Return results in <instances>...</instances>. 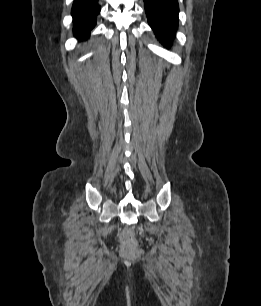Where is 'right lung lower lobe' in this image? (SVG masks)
I'll return each mask as SVG.
<instances>
[{
	"mask_svg": "<svg viewBox=\"0 0 261 306\" xmlns=\"http://www.w3.org/2000/svg\"><path fill=\"white\" fill-rule=\"evenodd\" d=\"M98 0H74L72 15L74 18V35L82 40L89 36L95 26L96 16L100 12Z\"/></svg>",
	"mask_w": 261,
	"mask_h": 306,
	"instance_id": "98d812e1",
	"label": "right lung lower lobe"
}]
</instances>
